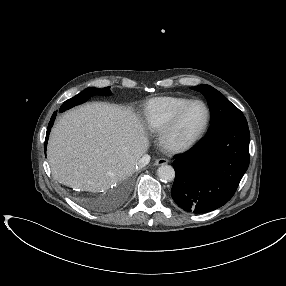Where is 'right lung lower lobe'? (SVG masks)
Returning <instances> with one entry per match:
<instances>
[{"label":"right lung lower lobe","instance_id":"1","mask_svg":"<svg viewBox=\"0 0 286 286\" xmlns=\"http://www.w3.org/2000/svg\"><path fill=\"white\" fill-rule=\"evenodd\" d=\"M56 114L57 112H54L52 117H51V120L49 122V126H48V129H47V132H46V139H45V151H46V146H47V141H48V137H49V133L51 131V127L53 126V122L55 120V117H56Z\"/></svg>","mask_w":286,"mask_h":286}]
</instances>
